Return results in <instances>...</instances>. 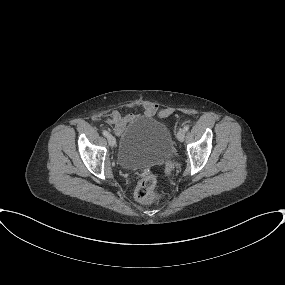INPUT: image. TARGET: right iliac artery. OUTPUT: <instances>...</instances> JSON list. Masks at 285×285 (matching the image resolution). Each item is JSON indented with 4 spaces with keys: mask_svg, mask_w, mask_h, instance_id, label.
Segmentation results:
<instances>
[{
    "mask_svg": "<svg viewBox=\"0 0 285 285\" xmlns=\"http://www.w3.org/2000/svg\"><path fill=\"white\" fill-rule=\"evenodd\" d=\"M102 134H103L105 137H108V136H109V133H108L107 131H105V130L102 132Z\"/></svg>",
    "mask_w": 285,
    "mask_h": 285,
    "instance_id": "1",
    "label": "right iliac artery"
}]
</instances>
